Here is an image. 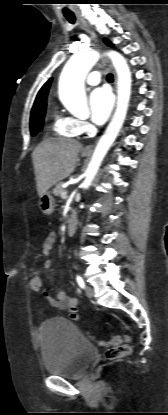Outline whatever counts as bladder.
Listing matches in <instances>:
<instances>
[{"label": "bladder", "instance_id": "bladder-1", "mask_svg": "<svg viewBox=\"0 0 168 415\" xmlns=\"http://www.w3.org/2000/svg\"><path fill=\"white\" fill-rule=\"evenodd\" d=\"M41 351L46 372L64 378L80 377L98 353L71 321L61 317L42 323Z\"/></svg>", "mask_w": 168, "mask_h": 415}]
</instances>
